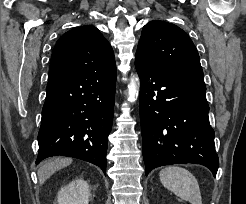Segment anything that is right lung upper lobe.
<instances>
[{"instance_id":"1","label":"right lung upper lobe","mask_w":246,"mask_h":204,"mask_svg":"<svg viewBox=\"0 0 246 204\" xmlns=\"http://www.w3.org/2000/svg\"><path fill=\"white\" fill-rule=\"evenodd\" d=\"M112 69H116V64L109 42L96 27L81 26L69 30L57 41L49 79Z\"/></svg>"}]
</instances>
